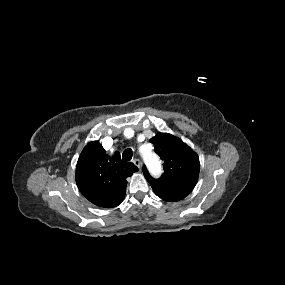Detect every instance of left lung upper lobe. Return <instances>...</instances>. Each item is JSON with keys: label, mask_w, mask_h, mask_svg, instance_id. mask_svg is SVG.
<instances>
[{"label": "left lung upper lobe", "mask_w": 285, "mask_h": 285, "mask_svg": "<svg viewBox=\"0 0 285 285\" xmlns=\"http://www.w3.org/2000/svg\"><path fill=\"white\" fill-rule=\"evenodd\" d=\"M150 142L164 160V174L159 179L152 178L143 166V174L151 187L190 193L198 181V155L182 140L168 133H158Z\"/></svg>", "instance_id": "5c2ea615"}]
</instances>
